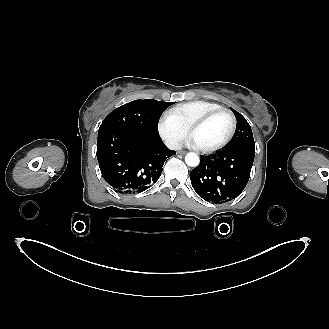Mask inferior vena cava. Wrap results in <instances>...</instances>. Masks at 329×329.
<instances>
[{
  "label": "inferior vena cava",
  "mask_w": 329,
  "mask_h": 329,
  "mask_svg": "<svg viewBox=\"0 0 329 329\" xmlns=\"http://www.w3.org/2000/svg\"><path fill=\"white\" fill-rule=\"evenodd\" d=\"M166 146L171 150H180L182 149V144L176 140H167L165 142Z\"/></svg>",
  "instance_id": "inferior-vena-cava-1"
}]
</instances>
